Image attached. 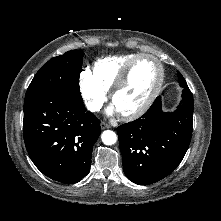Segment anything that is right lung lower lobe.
Returning <instances> with one entry per match:
<instances>
[{"label":"right lung lower lobe","mask_w":221,"mask_h":221,"mask_svg":"<svg viewBox=\"0 0 221 221\" xmlns=\"http://www.w3.org/2000/svg\"><path fill=\"white\" fill-rule=\"evenodd\" d=\"M100 120L83 103L51 95L24 106L23 134L28 154L47 177L79 182L90 170Z\"/></svg>","instance_id":"right-lung-lower-lobe-1"}]
</instances>
